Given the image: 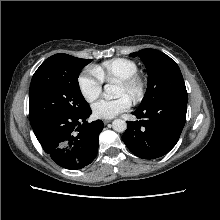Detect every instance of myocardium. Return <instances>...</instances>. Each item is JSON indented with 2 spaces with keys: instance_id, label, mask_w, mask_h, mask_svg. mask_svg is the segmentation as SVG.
I'll return each mask as SVG.
<instances>
[{
  "instance_id": "f54148a6",
  "label": "myocardium",
  "mask_w": 220,
  "mask_h": 220,
  "mask_svg": "<svg viewBox=\"0 0 220 220\" xmlns=\"http://www.w3.org/2000/svg\"><path fill=\"white\" fill-rule=\"evenodd\" d=\"M117 85L124 88L129 93V98L135 102L141 100L146 92V80L139 73L118 81Z\"/></svg>"
}]
</instances>
